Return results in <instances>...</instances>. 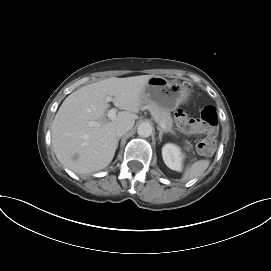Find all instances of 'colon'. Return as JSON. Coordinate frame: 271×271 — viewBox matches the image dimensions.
Returning a JSON list of instances; mask_svg holds the SVG:
<instances>
[{"mask_svg": "<svg viewBox=\"0 0 271 271\" xmlns=\"http://www.w3.org/2000/svg\"><path fill=\"white\" fill-rule=\"evenodd\" d=\"M175 122L177 126L184 132L189 134L203 133L197 149L202 155H210L216 147V133L218 128V114L213 106H206L201 111L200 117L197 119L190 118L184 110H178L175 113Z\"/></svg>", "mask_w": 271, "mask_h": 271, "instance_id": "5ec220e1", "label": "colon"}]
</instances>
